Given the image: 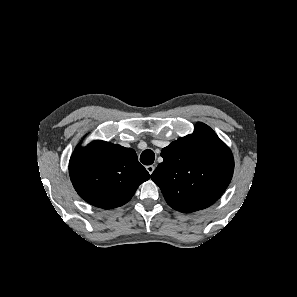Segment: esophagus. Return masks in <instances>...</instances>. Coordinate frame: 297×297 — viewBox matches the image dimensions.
Here are the masks:
<instances>
[{
  "label": "esophagus",
  "mask_w": 297,
  "mask_h": 297,
  "mask_svg": "<svg viewBox=\"0 0 297 297\" xmlns=\"http://www.w3.org/2000/svg\"><path fill=\"white\" fill-rule=\"evenodd\" d=\"M146 169L148 171V173L151 175L155 169V167L153 165H148L146 166Z\"/></svg>",
  "instance_id": "34e87169"
}]
</instances>
